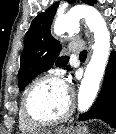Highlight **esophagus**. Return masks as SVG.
Listing matches in <instances>:
<instances>
[{
    "mask_svg": "<svg viewBox=\"0 0 116 134\" xmlns=\"http://www.w3.org/2000/svg\"><path fill=\"white\" fill-rule=\"evenodd\" d=\"M85 34H86V36H87V38L89 40V45L91 46V44H92V37H91V35H90V33H89V31L87 29L85 30ZM90 54H91V52H90Z\"/></svg>",
    "mask_w": 116,
    "mask_h": 134,
    "instance_id": "1",
    "label": "esophagus"
}]
</instances>
